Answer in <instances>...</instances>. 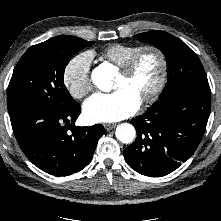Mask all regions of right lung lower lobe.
<instances>
[{
    "label": "right lung lower lobe",
    "instance_id": "1",
    "mask_svg": "<svg viewBox=\"0 0 221 221\" xmlns=\"http://www.w3.org/2000/svg\"><path fill=\"white\" fill-rule=\"evenodd\" d=\"M80 112L78 103L64 109L33 104L10 110L9 115L26 157L46 173L67 176L90 163L97 142L105 133L101 124L74 126Z\"/></svg>",
    "mask_w": 221,
    "mask_h": 221
}]
</instances>
